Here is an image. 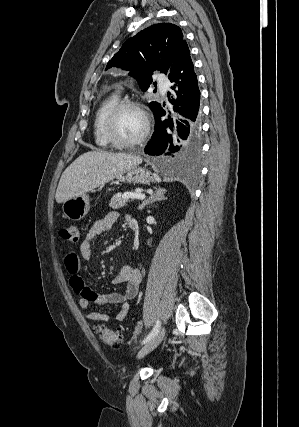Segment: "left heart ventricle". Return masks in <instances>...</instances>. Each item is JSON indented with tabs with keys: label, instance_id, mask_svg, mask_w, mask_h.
I'll list each match as a JSON object with an SVG mask.
<instances>
[{
	"label": "left heart ventricle",
	"instance_id": "left-heart-ventricle-1",
	"mask_svg": "<svg viewBox=\"0 0 299 427\" xmlns=\"http://www.w3.org/2000/svg\"><path fill=\"white\" fill-rule=\"evenodd\" d=\"M144 129L142 115L135 109H123L115 121L117 135L123 140H133L137 138Z\"/></svg>",
	"mask_w": 299,
	"mask_h": 427
}]
</instances>
